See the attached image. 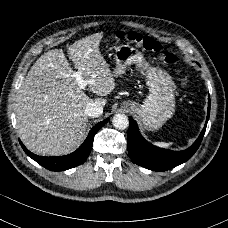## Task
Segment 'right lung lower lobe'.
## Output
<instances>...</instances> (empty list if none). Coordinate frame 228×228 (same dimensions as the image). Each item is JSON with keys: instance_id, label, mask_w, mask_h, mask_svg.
Listing matches in <instances>:
<instances>
[{"instance_id": "1", "label": "right lung lower lobe", "mask_w": 228, "mask_h": 228, "mask_svg": "<svg viewBox=\"0 0 228 228\" xmlns=\"http://www.w3.org/2000/svg\"><path fill=\"white\" fill-rule=\"evenodd\" d=\"M108 121H109V118L97 123L89 132L84 143L75 152L66 156H57V157L38 156L31 153L29 150H27V148L22 144L21 141L19 142L23 150L25 151V153L33 160H35L37 163L45 167L46 169L51 171H63V170H67L75 166H78L83 162H85V160L88 158L91 152L94 135Z\"/></svg>"}]
</instances>
